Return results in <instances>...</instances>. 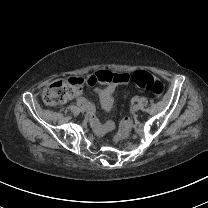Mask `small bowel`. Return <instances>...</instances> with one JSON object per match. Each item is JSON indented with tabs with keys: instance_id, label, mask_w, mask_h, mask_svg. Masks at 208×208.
<instances>
[{
	"instance_id": "c3829d8e",
	"label": "small bowel",
	"mask_w": 208,
	"mask_h": 208,
	"mask_svg": "<svg viewBox=\"0 0 208 208\" xmlns=\"http://www.w3.org/2000/svg\"><path fill=\"white\" fill-rule=\"evenodd\" d=\"M126 81H127V75L116 74L114 81H112L110 83H106V85L101 88H97V91L100 96L101 105L105 111H109L112 107V95H113V91H114L116 85L122 84ZM73 99L81 102L86 107L87 114L90 117V121L94 124L96 131H98L100 133H105V132L109 131L110 129H112V126H113L112 123L107 122L104 124H100L98 122L97 118L94 115L93 106L82 95L80 90L76 91L75 95L73 96ZM105 126H107V127L105 128Z\"/></svg>"
}]
</instances>
